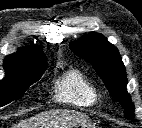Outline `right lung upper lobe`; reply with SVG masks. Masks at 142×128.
<instances>
[{
    "mask_svg": "<svg viewBox=\"0 0 142 128\" xmlns=\"http://www.w3.org/2000/svg\"><path fill=\"white\" fill-rule=\"evenodd\" d=\"M46 62V56L40 46L34 45L28 48H20L16 53L4 59L6 72L4 79L15 78L34 64Z\"/></svg>",
    "mask_w": 142,
    "mask_h": 128,
    "instance_id": "cb5924a9",
    "label": "right lung upper lobe"
}]
</instances>
